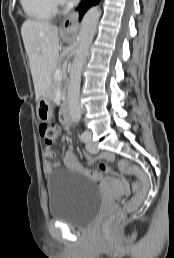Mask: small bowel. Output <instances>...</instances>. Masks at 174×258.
<instances>
[{"label": "small bowel", "mask_w": 174, "mask_h": 258, "mask_svg": "<svg viewBox=\"0 0 174 258\" xmlns=\"http://www.w3.org/2000/svg\"><path fill=\"white\" fill-rule=\"evenodd\" d=\"M43 156H44V170L46 173L50 174L54 171V169L58 168L60 166L59 161L54 160L57 158L56 154L50 147H45L43 150ZM106 158L113 159V156L111 154H106ZM85 160L89 163H92L94 161V156L90 154L85 155ZM64 165L69 170H76V171H85L87 175L91 176L93 179H100L101 175L98 174L97 171H87L85 170L77 161L74 153L71 150H68L66 154L63 157ZM98 167H103V169H106L108 166L107 162H98ZM124 183H127V180H124ZM127 190H129L128 187H126Z\"/></svg>", "instance_id": "1"}]
</instances>
